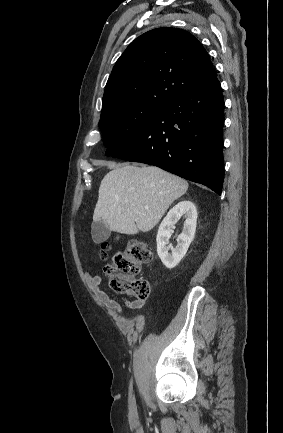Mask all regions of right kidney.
I'll return each mask as SVG.
<instances>
[{
  "mask_svg": "<svg viewBox=\"0 0 283 433\" xmlns=\"http://www.w3.org/2000/svg\"><path fill=\"white\" fill-rule=\"evenodd\" d=\"M184 216L186 218L182 233L179 235L178 244L173 248L169 244L172 228L176 222ZM197 222L196 206L191 201H181L175 205L161 222L157 233V253L162 263L172 269L185 256L193 241ZM172 250V253H169Z\"/></svg>",
  "mask_w": 283,
  "mask_h": 433,
  "instance_id": "obj_1",
  "label": "right kidney"
}]
</instances>
